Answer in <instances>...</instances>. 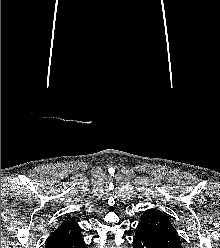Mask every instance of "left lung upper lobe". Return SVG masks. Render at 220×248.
<instances>
[{"label": "left lung upper lobe", "mask_w": 220, "mask_h": 248, "mask_svg": "<svg viewBox=\"0 0 220 248\" xmlns=\"http://www.w3.org/2000/svg\"><path fill=\"white\" fill-rule=\"evenodd\" d=\"M142 226L155 240L166 248H183L176 229L167 215L157 209L147 210L140 218Z\"/></svg>", "instance_id": "1"}]
</instances>
